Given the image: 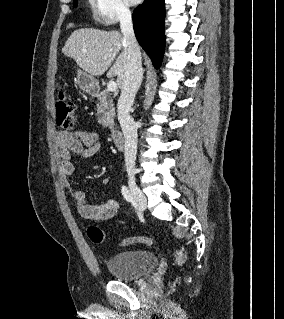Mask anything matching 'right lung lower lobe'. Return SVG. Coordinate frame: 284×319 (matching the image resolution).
I'll use <instances>...</instances> for the list:
<instances>
[{"label":"right lung lower lobe","mask_w":284,"mask_h":319,"mask_svg":"<svg viewBox=\"0 0 284 319\" xmlns=\"http://www.w3.org/2000/svg\"><path fill=\"white\" fill-rule=\"evenodd\" d=\"M164 0H145L133 12L134 31L142 48L159 68L165 46Z\"/></svg>","instance_id":"right-lung-lower-lobe-1"}]
</instances>
